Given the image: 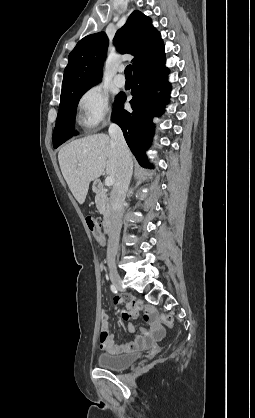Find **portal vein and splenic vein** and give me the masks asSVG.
Masks as SVG:
<instances>
[{
	"label": "portal vein and splenic vein",
	"instance_id": "obj_1",
	"mask_svg": "<svg viewBox=\"0 0 255 418\" xmlns=\"http://www.w3.org/2000/svg\"><path fill=\"white\" fill-rule=\"evenodd\" d=\"M115 182V178L113 176H107L105 179L106 186H112Z\"/></svg>",
	"mask_w": 255,
	"mask_h": 418
}]
</instances>
